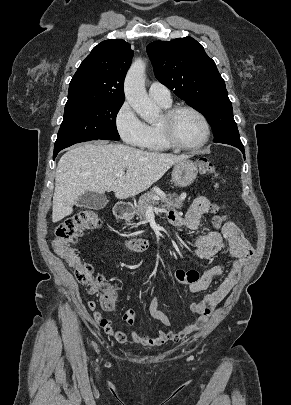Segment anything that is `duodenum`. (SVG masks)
<instances>
[{"label":"duodenum","mask_w":291,"mask_h":405,"mask_svg":"<svg viewBox=\"0 0 291 405\" xmlns=\"http://www.w3.org/2000/svg\"><path fill=\"white\" fill-rule=\"evenodd\" d=\"M132 212L133 208L131 204L127 202H120L116 205L115 213L121 219L129 217ZM126 243L135 251H144L148 247V242L142 239H127Z\"/></svg>","instance_id":"410a0bca"}]
</instances>
